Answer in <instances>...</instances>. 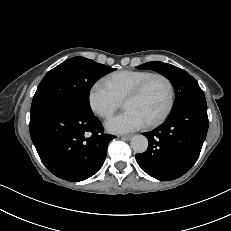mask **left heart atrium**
Segmentation results:
<instances>
[{"label":"left heart atrium","instance_id":"obj_1","mask_svg":"<svg viewBox=\"0 0 231 231\" xmlns=\"http://www.w3.org/2000/svg\"><path fill=\"white\" fill-rule=\"evenodd\" d=\"M147 125V121L136 111L126 110L110 118L106 124V129L111 133L123 134L139 130Z\"/></svg>","mask_w":231,"mask_h":231}]
</instances>
